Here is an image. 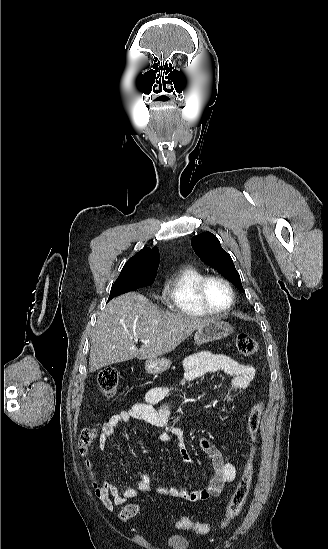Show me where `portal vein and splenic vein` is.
<instances>
[{
  "mask_svg": "<svg viewBox=\"0 0 328 549\" xmlns=\"http://www.w3.org/2000/svg\"><path fill=\"white\" fill-rule=\"evenodd\" d=\"M134 341H138L137 337H135ZM144 343H149V341H144Z\"/></svg>",
  "mask_w": 328,
  "mask_h": 549,
  "instance_id": "1",
  "label": "portal vein and splenic vein"
}]
</instances>
